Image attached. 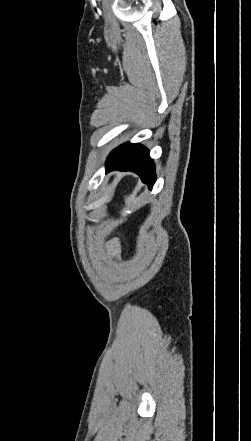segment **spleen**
<instances>
[{"label": "spleen", "instance_id": "obj_1", "mask_svg": "<svg viewBox=\"0 0 251 441\" xmlns=\"http://www.w3.org/2000/svg\"><path fill=\"white\" fill-rule=\"evenodd\" d=\"M137 201L138 200L135 199L133 196L125 199V202H128V203H137Z\"/></svg>", "mask_w": 251, "mask_h": 441}]
</instances>
